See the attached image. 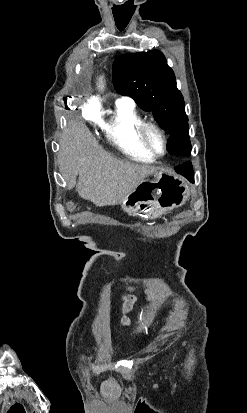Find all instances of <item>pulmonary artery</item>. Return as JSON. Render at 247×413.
Instances as JSON below:
<instances>
[{
	"instance_id": "pulmonary-artery-1",
	"label": "pulmonary artery",
	"mask_w": 247,
	"mask_h": 413,
	"mask_svg": "<svg viewBox=\"0 0 247 413\" xmlns=\"http://www.w3.org/2000/svg\"><path fill=\"white\" fill-rule=\"evenodd\" d=\"M117 100L119 103H123V102L131 103L133 101V99L129 96H121Z\"/></svg>"
}]
</instances>
